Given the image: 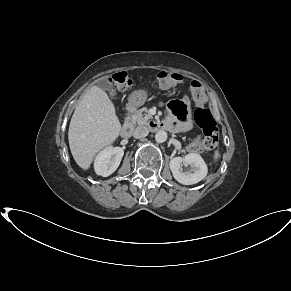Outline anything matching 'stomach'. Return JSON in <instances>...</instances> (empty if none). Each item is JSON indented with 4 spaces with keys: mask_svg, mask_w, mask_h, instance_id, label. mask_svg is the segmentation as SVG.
Masks as SVG:
<instances>
[{
    "mask_svg": "<svg viewBox=\"0 0 291 291\" xmlns=\"http://www.w3.org/2000/svg\"><path fill=\"white\" fill-rule=\"evenodd\" d=\"M147 96L148 94L145 90L134 91L129 97V103L132 106H141L146 102Z\"/></svg>",
    "mask_w": 291,
    "mask_h": 291,
    "instance_id": "obj_1",
    "label": "stomach"
}]
</instances>
